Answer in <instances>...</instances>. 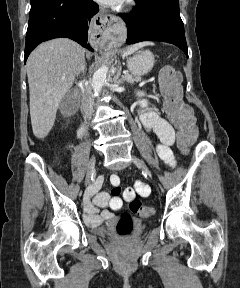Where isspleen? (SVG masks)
Instances as JSON below:
<instances>
[{"instance_id":"obj_1","label":"spleen","mask_w":240,"mask_h":288,"mask_svg":"<svg viewBox=\"0 0 240 288\" xmlns=\"http://www.w3.org/2000/svg\"><path fill=\"white\" fill-rule=\"evenodd\" d=\"M149 45H154L153 42L151 41H143V42H140V43H136L134 45H132L128 50H127V54H132L134 53L135 51H137L138 49L144 47V46H149Z\"/></svg>"}]
</instances>
